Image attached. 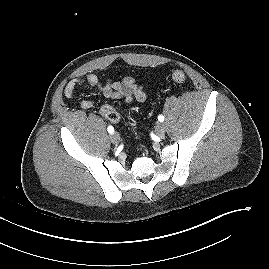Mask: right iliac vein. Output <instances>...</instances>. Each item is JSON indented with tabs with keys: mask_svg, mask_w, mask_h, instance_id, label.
<instances>
[{
	"mask_svg": "<svg viewBox=\"0 0 269 269\" xmlns=\"http://www.w3.org/2000/svg\"><path fill=\"white\" fill-rule=\"evenodd\" d=\"M110 140L113 144H118L120 142V135L117 132H114L110 135Z\"/></svg>",
	"mask_w": 269,
	"mask_h": 269,
	"instance_id": "1",
	"label": "right iliac vein"
}]
</instances>
